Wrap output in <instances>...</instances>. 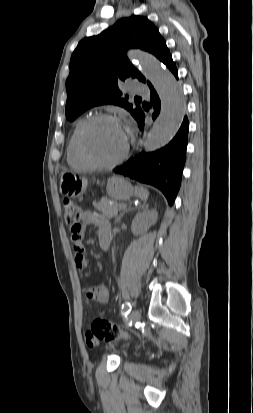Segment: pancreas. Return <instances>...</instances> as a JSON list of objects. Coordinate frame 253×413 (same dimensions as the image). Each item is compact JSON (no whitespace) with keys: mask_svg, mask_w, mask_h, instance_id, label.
Returning <instances> with one entry per match:
<instances>
[{"mask_svg":"<svg viewBox=\"0 0 253 413\" xmlns=\"http://www.w3.org/2000/svg\"><path fill=\"white\" fill-rule=\"evenodd\" d=\"M110 202V199L103 198L99 202L94 201L93 205L107 218L112 219L117 216L118 211L122 209L123 205L116 204L115 206H110Z\"/></svg>","mask_w":253,"mask_h":413,"instance_id":"cf45deb5","label":"pancreas"}]
</instances>
